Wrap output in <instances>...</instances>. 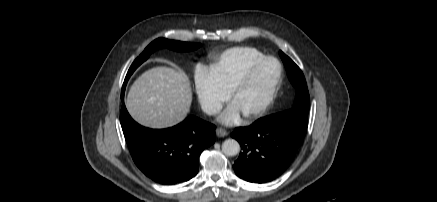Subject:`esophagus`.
Listing matches in <instances>:
<instances>
[{
	"label": "esophagus",
	"instance_id": "1",
	"mask_svg": "<svg viewBox=\"0 0 437 202\" xmlns=\"http://www.w3.org/2000/svg\"><path fill=\"white\" fill-rule=\"evenodd\" d=\"M216 134H217L218 137H225V136L228 135V132L225 129H223V128H217L216 129Z\"/></svg>",
	"mask_w": 437,
	"mask_h": 202
}]
</instances>
